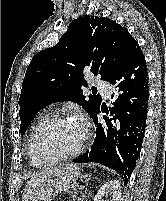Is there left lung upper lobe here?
Here are the masks:
<instances>
[{"mask_svg": "<svg viewBox=\"0 0 166 201\" xmlns=\"http://www.w3.org/2000/svg\"><path fill=\"white\" fill-rule=\"evenodd\" d=\"M137 41L115 21L98 16L73 20L59 42L32 58L19 98L20 133L38 111L58 101H74L93 118L102 98L82 94L84 72L109 81L129 57Z\"/></svg>", "mask_w": 166, "mask_h": 201, "instance_id": "obj_1", "label": "left lung upper lobe"}]
</instances>
